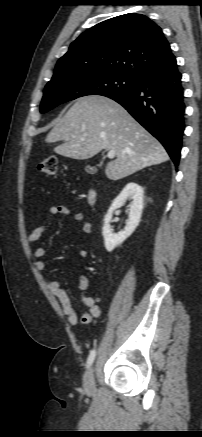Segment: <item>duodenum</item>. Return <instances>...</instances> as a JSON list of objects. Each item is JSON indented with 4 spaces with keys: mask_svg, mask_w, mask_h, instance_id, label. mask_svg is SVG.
<instances>
[{
    "mask_svg": "<svg viewBox=\"0 0 202 437\" xmlns=\"http://www.w3.org/2000/svg\"><path fill=\"white\" fill-rule=\"evenodd\" d=\"M95 198H96L95 191L94 190H90L89 193H88V197H87L88 203L90 205H93L94 202H95Z\"/></svg>",
    "mask_w": 202,
    "mask_h": 437,
    "instance_id": "410a0bca",
    "label": "duodenum"
}]
</instances>
